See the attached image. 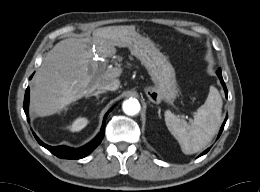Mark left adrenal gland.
<instances>
[{
	"label": "left adrenal gland",
	"instance_id": "obj_1",
	"mask_svg": "<svg viewBox=\"0 0 260 192\" xmlns=\"http://www.w3.org/2000/svg\"><path fill=\"white\" fill-rule=\"evenodd\" d=\"M160 112H161V110H160V108H159V111H158L159 117H161Z\"/></svg>",
	"mask_w": 260,
	"mask_h": 192
}]
</instances>
